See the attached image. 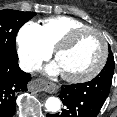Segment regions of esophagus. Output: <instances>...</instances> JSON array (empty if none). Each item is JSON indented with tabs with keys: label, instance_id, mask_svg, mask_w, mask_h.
Returning <instances> with one entry per match:
<instances>
[{
	"label": "esophagus",
	"instance_id": "obj_1",
	"mask_svg": "<svg viewBox=\"0 0 117 117\" xmlns=\"http://www.w3.org/2000/svg\"><path fill=\"white\" fill-rule=\"evenodd\" d=\"M37 92H49L53 93L57 90V86L53 83L46 82L43 80H34L31 85Z\"/></svg>",
	"mask_w": 117,
	"mask_h": 117
}]
</instances>
